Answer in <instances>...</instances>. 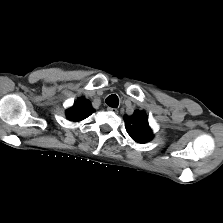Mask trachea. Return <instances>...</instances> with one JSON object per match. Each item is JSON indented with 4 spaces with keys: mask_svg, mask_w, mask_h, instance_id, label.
<instances>
[{
    "mask_svg": "<svg viewBox=\"0 0 223 223\" xmlns=\"http://www.w3.org/2000/svg\"><path fill=\"white\" fill-rule=\"evenodd\" d=\"M105 102L108 106L112 108H117L119 104V99L116 95L112 94L106 98Z\"/></svg>",
    "mask_w": 223,
    "mask_h": 223,
    "instance_id": "1",
    "label": "trachea"
}]
</instances>
